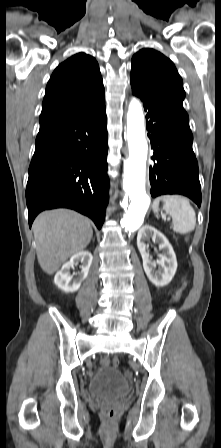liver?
<instances>
[{
    "label": "liver",
    "mask_w": 221,
    "mask_h": 448,
    "mask_svg": "<svg viewBox=\"0 0 221 448\" xmlns=\"http://www.w3.org/2000/svg\"><path fill=\"white\" fill-rule=\"evenodd\" d=\"M37 259L51 275L72 255L90 243L93 230L88 218L68 209L44 211L33 223Z\"/></svg>",
    "instance_id": "6515ba94"
}]
</instances>
